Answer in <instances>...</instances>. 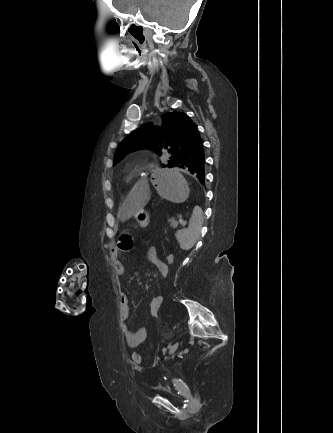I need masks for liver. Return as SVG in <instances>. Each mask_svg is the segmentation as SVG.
<instances>
[{
  "label": "liver",
  "mask_w": 333,
  "mask_h": 433,
  "mask_svg": "<svg viewBox=\"0 0 333 433\" xmlns=\"http://www.w3.org/2000/svg\"><path fill=\"white\" fill-rule=\"evenodd\" d=\"M137 192H130V201H120L119 209L123 221L130 220L132 215H138L143 208L141 201H149V192L151 191L150 183H137L135 186Z\"/></svg>",
  "instance_id": "1"
}]
</instances>
